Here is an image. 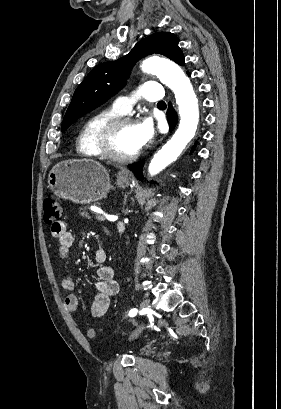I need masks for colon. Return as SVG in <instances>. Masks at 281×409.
Instances as JSON below:
<instances>
[{"label": "colon", "instance_id": "colon-1", "mask_svg": "<svg viewBox=\"0 0 281 409\" xmlns=\"http://www.w3.org/2000/svg\"><path fill=\"white\" fill-rule=\"evenodd\" d=\"M44 220L46 222H53L59 219L62 215V205L60 201L54 196H47L43 201ZM88 336L94 337L95 331L93 329L88 330Z\"/></svg>", "mask_w": 281, "mask_h": 409}]
</instances>
